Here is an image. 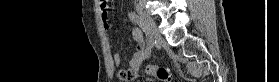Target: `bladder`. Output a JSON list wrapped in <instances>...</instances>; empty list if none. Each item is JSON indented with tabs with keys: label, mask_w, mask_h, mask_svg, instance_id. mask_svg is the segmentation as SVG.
Segmentation results:
<instances>
[{
	"label": "bladder",
	"mask_w": 279,
	"mask_h": 82,
	"mask_svg": "<svg viewBox=\"0 0 279 82\" xmlns=\"http://www.w3.org/2000/svg\"><path fill=\"white\" fill-rule=\"evenodd\" d=\"M124 82H144L142 80H128V81H124Z\"/></svg>",
	"instance_id": "bladder-1"
}]
</instances>
